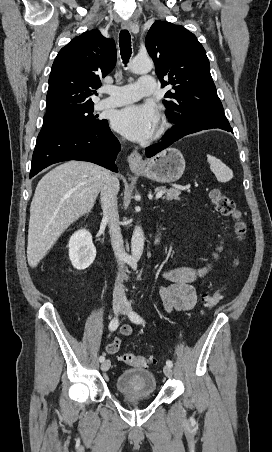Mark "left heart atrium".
<instances>
[{"label":"left heart atrium","instance_id":"left-heart-atrium-1","mask_svg":"<svg viewBox=\"0 0 272 452\" xmlns=\"http://www.w3.org/2000/svg\"><path fill=\"white\" fill-rule=\"evenodd\" d=\"M158 113L151 105H129L117 111L113 127L134 141L148 139L158 123Z\"/></svg>","mask_w":272,"mask_h":452}]
</instances>
